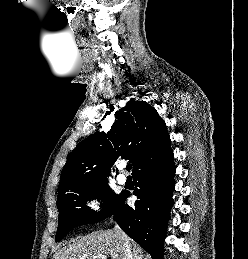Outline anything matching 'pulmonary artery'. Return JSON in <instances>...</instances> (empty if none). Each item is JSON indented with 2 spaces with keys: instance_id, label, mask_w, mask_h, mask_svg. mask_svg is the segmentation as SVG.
I'll list each match as a JSON object with an SVG mask.
<instances>
[{
  "instance_id": "obj_1",
  "label": "pulmonary artery",
  "mask_w": 248,
  "mask_h": 259,
  "mask_svg": "<svg viewBox=\"0 0 248 259\" xmlns=\"http://www.w3.org/2000/svg\"><path fill=\"white\" fill-rule=\"evenodd\" d=\"M117 182L119 184H125L126 183V176L124 174H119L117 176Z\"/></svg>"
}]
</instances>
